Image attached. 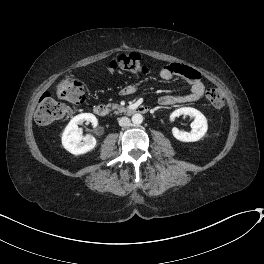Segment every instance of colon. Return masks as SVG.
<instances>
[{"instance_id":"1","label":"colon","mask_w":264,"mask_h":264,"mask_svg":"<svg viewBox=\"0 0 264 264\" xmlns=\"http://www.w3.org/2000/svg\"><path fill=\"white\" fill-rule=\"evenodd\" d=\"M109 72H138L148 73L149 62L146 58L135 53L123 54L112 60L108 66ZM206 99L214 107L220 108L224 104L221 91L213 86L206 88ZM64 100L67 103H63ZM86 102L85 86L80 81L65 79L55 89V94L45 92L38 101L35 114L36 122L40 125H48L71 116L76 106Z\"/></svg>"}]
</instances>
